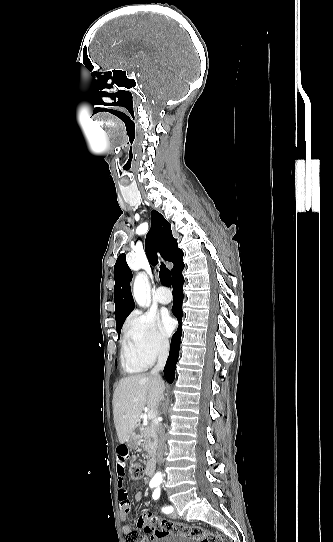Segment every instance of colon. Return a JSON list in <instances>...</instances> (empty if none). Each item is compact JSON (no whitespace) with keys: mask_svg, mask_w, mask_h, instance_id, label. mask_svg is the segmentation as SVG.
<instances>
[{"mask_svg":"<svg viewBox=\"0 0 333 542\" xmlns=\"http://www.w3.org/2000/svg\"><path fill=\"white\" fill-rule=\"evenodd\" d=\"M131 476L140 480L146 474V467L138 462L131 461ZM137 525L144 533L154 531L156 538L164 539L168 536L180 537L193 542H231L230 536H220L198 525H187L181 522H172L160 519L149 511L140 513L137 517ZM127 542H145L146 538L140 531H128Z\"/></svg>","mask_w":333,"mask_h":542,"instance_id":"colon-1","label":"colon"}]
</instances>
